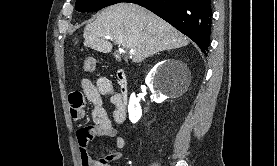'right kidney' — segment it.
Here are the masks:
<instances>
[{
    "mask_svg": "<svg viewBox=\"0 0 277 166\" xmlns=\"http://www.w3.org/2000/svg\"><path fill=\"white\" fill-rule=\"evenodd\" d=\"M167 63L177 68H184L183 63L179 61L166 60L158 63L150 71V73L146 77L145 82L150 87L153 100L156 103H162L165 99H167V96L163 94V87H162L163 77L161 74L162 69ZM128 113H129V119L133 123H136L142 115V109H141L139 100L135 97L134 93L130 96Z\"/></svg>",
    "mask_w": 277,
    "mask_h": 166,
    "instance_id": "ca27d5eb",
    "label": "right kidney"
}]
</instances>
